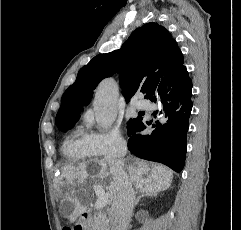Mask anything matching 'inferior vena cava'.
<instances>
[{
  "mask_svg": "<svg viewBox=\"0 0 241 230\" xmlns=\"http://www.w3.org/2000/svg\"><path fill=\"white\" fill-rule=\"evenodd\" d=\"M125 154L126 147L122 146L116 153L105 157L114 182V197L109 211L110 230H127L135 204L132 183L120 160Z\"/></svg>",
  "mask_w": 241,
  "mask_h": 230,
  "instance_id": "602c4592",
  "label": "inferior vena cava"
}]
</instances>
